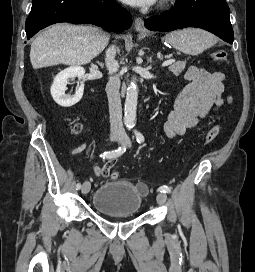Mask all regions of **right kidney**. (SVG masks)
Instances as JSON below:
<instances>
[{
	"label": "right kidney",
	"mask_w": 255,
	"mask_h": 272,
	"mask_svg": "<svg viewBox=\"0 0 255 272\" xmlns=\"http://www.w3.org/2000/svg\"><path fill=\"white\" fill-rule=\"evenodd\" d=\"M84 74L85 70L83 67L74 66L64 69L63 71L56 75L51 86L50 92L54 101L59 106L71 107L81 100L84 91L83 82H80V85L78 86V89L74 96L66 95L65 91L67 89L66 85L69 79H74L75 77L82 79L84 77Z\"/></svg>",
	"instance_id": "ca27d5eb"
}]
</instances>
